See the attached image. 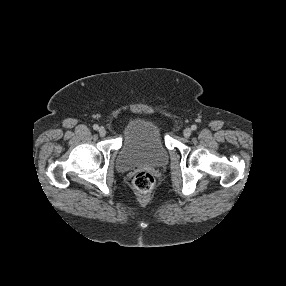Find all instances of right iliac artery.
Wrapping results in <instances>:
<instances>
[{
  "label": "right iliac artery",
  "instance_id": "obj_1",
  "mask_svg": "<svg viewBox=\"0 0 286 286\" xmlns=\"http://www.w3.org/2000/svg\"><path fill=\"white\" fill-rule=\"evenodd\" d=\"M93 129H94V130H98V129H99V126H98L97 124H94V125H93Z\"/></svg>",
  "mask_w": 286,
  "mask_h": 286
}]
</instances>
